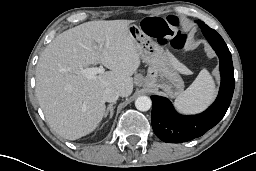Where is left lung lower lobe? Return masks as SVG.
Wrapping results in <instances>:
<instances>
[{"label":"left lung lower lobe","instance_id":"1","mask_svg":"<svg viewBox=\"0 0 256 171\" xmlns=\"http://www.w3.org/2000/svg\"><path fill=\"white\" fill-rule=\"evenodd\" d=\"M199 26L220 60L219 94L206 111L193 116L178 114L167 98L151 96L153 130L157 137L167 143L186 142L205 134L224 117L233 96L235 80L231 53L222 37L214 29L205 23H200Z\"/></svg>","mask_w":256,"mask_h":171}]
</instances>
